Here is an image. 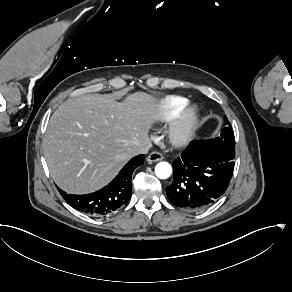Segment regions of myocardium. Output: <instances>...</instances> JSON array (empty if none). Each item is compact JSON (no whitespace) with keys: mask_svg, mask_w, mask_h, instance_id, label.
Returning <instances> with one entry per match:
<instances>
[{"mask_svg":"<svg viewBox=\"0 0 292 292\" xmlns=\"http://www.w3.org/2000/svg\"><path fill=\"white\" fill-rule=\"evenodd\" d=\"M198 123V111L193 105H186L171 119L167 131L169 141L176 146L186 144L192 137Z\"/></svg>","mask_w":292,"mask_h":292,"instance_id":"f54148a6","label":"myocardium"}]
</instances>
